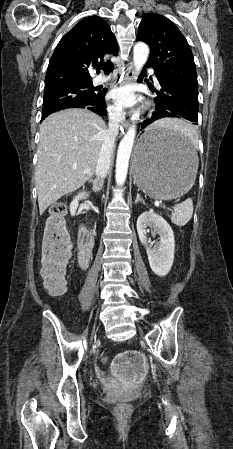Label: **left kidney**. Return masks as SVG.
<instances>
[{"mask_svg": "<svg viewBox=\"0 0 233 449\" xmlns=\"http://www.w3.org/2000/svg\"><path fill=\"white\" fill-rule=\"evenodd\" d=\"M148 227L160 236L159 243L153 249L148 245ZM137 232L140 242L146 248L151 270L158 276L167 275L173 265L175 251L174 234L170 225L158 214L144 212L137 220Z\"/></svg>", "mask_w": 233, "mask_h": 449, "instance_id": "obj_1", "label": "left kidney"}]
</instances>
